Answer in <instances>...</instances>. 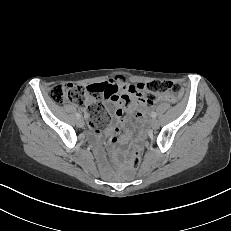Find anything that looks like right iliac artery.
Instances as JSON below:
<instances>
[{
	"instance_id": "82829eb1",
	"label": "right iliac artery",
	"mask_w": 231,
	"mask_h": 231,
	"mask_svg": "<svg viewBox=\"0 0 231 231\" xmlns=\"http://www.w3.org/2000/svg\"><path fill=\"white\" fill-rule=\"evenodd\" d=\"M76 117L79 119V118H81V115L79 113H77Z\"/></svg>"
}]
</instances>
